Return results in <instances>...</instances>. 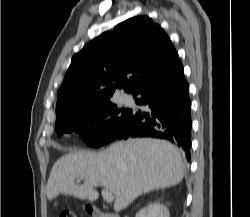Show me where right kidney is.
I'll return each mask as SVG.
<instances>
[{"instance_id": "ca27d5eb", "label": "right kidney", "mask_w": 250, "mask_h": 217, "mask_svg": "<svg viewBox=\"0 0 250 217\" xmlns=\"http://www.w3.org/2000/svg\"><path fill=\"white\" fill-rule=\"evenodd\" d=\"M135 217H170V213L165 205L156 202L141 209Z\"/></svg>"}]
</instances>
